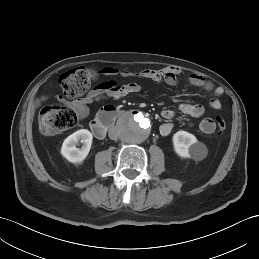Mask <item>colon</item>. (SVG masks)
<instances>
[{
	"label": "colon",
	"mask_w": 259,
	"mask_h": 259,
	"mask_svg": "<svg viewBox=\"0 0 259 259\" xmlns=\"http://www.w3.org/2000/svg\"><path fill=\"white\" fill-rule=\"evenodd\" d=\"M98 79V72L93 68L76 67L61 75L60 87L65 96L77 98L83 95L89 86ZM79 114L71 107L50 104L45 106L39 116V129L45 136L57 135L76 125ZM219 134L226 131L227 125L223 117H215Z\"/></svg>",
	"instance_id": "1"
}]
</instances>
